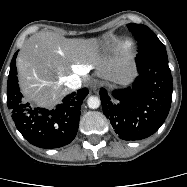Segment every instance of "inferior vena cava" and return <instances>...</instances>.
I'll list each match as a JSON object with an SVG mask.
<instances>
[{
    "label": "inferior vena cava",
    "mask_w": 187,
    "mask_h": 187,
    "mask_svg": "<svg viewBox=\"0 0 187 187\" xmlns=\"http://www.w3.org/2000/svg\"><path fill=\"white\" fill-rule=\"evenodd\" d=\"M82 85L81 78L77 74H72L67 77L66 86L69 89L76 90L79 89Z\"/></svg>",
    "instance_id": "obj_1"
}]
</instances>
